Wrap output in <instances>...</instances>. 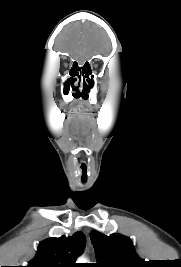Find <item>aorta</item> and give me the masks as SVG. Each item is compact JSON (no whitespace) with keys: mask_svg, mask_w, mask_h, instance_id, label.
<instances>
[{"mask_svg":"<svg viewBox=\"0 0 181 267\" xmlns=\"http://www.w3.org/2000/svg\"><path fill=\"white\" fill-rule=\"evenodd\" d=\"M79 261H86V259L84 257H81Z\"/></svg>","mask_w":181,"mask_h":267,"instance_id":"762f6f07","label":"aorta"}]
</instances>
